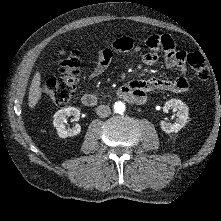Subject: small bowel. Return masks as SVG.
I'll return each instance as SVG.
<instances>
[{
	"mask_svg": "<svg viewBox=\"0 0 221 221\" xmlns=\"http://www.w3.org/2000/svg\"><path fill=\"white\" fill-rule=\"evenodd\" d=\"M145 45L148 48L142 57V62L147 66H153L158 61V52L164 54V62L167 68L178 69L180 76L173 80L161 78H150L146 80H134L128 86L137 94L139 103L146 100L148 92L168 90L174 93L186 92L189 88L186 77V53L178 50L176 44L169 35H151ZM141 47L134 43L129 36L115 39L108 47L100 49L97 59L87 74V80H91L101 75L110 65L113 58L120 52L140 51Z\"/></svg>",
	"mask_w": 221,
	"mask_h": 221,
	"instance_id": "small-bowel-1",
	"label": "small bowel"
}]
</instances>
